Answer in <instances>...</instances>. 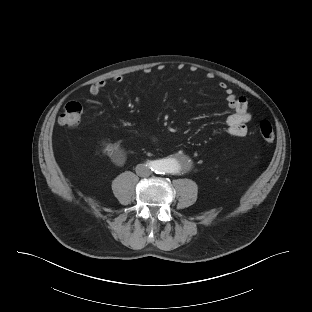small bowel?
<instances>
[{
  "label": "small bowel",
  "instance_id": "1",
  "mask_svg": "<svg viewBox=\"0 0 312 312\" xmlns=\"http://www.w3.org/2000/svg\"><path fill=\"white\" fill-rule=\"evenodd\" d=\"M206 77L211 79L213 74L209 73ZM122 80V76H116L113 79L115 83H120ZM106 84L105 80L95 82L90 86L89 94L92 97L98 96ZM219 87L226 96L228 108L233 111L226 121L227 131L232 137H244L248 132L247 123L251 120V114L248 111V101L244 96L235 95L232 89L224 82H221Z\"/></svg>",
  "mask_w": 312,
  "mask_h": 312
}]
</instances>
